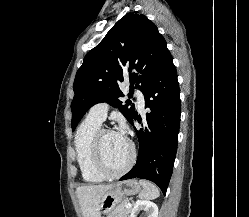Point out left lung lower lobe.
Instances as JSON below:
<instances>
[{
    "label": "left lung lower lobe",
    "instance_id": "obj_1",
    "mask_svg": "<svg viewBox=\"0 0 249 217\" xmlns=\"http://www.w3.org/2000/svg\"><path fill=\"white\" fill-rule=\"evenodd\" d=\"M143 94L145 107L150 108V111L146 114L144 129L137 130L134 127L139 141L138 159L136 165L120 180L147 179L157 184L166 194L180 126V92L171 54ZM136 117L135 114L133 119L136 120Z\"/></svg>",
    "mask_w": 249,
    "mask_h": 217
}]
</instances>
